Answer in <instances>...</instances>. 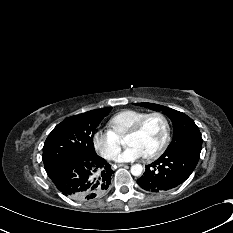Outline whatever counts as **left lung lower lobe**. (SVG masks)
<instances>
[{"instance_id": "left-lung-lower-lobe-1", "label": "left lung lower lobe", "mask_w": 233, "mask_h": 233, "mask_svg": "<svg viewBox=\"0 0 233 233\" xmlns=\"http://www.w3.org/2000/svg\"><path fill=\"white\" fill-rule=\"evenodd\" d=\"M200 154L189 150L165 151L160 158L146 165L138 185L150 192L171 190L182 184L195 169Z\"/></svg>"}]
</instances>
